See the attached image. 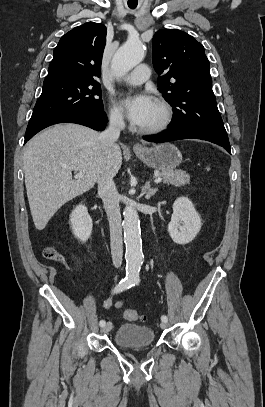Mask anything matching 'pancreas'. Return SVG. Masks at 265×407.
<instances>
[{"instance_id":"1","label":"pancreas","mask_w":265,"mask_h":407,"mask_svg":"<svg viewBox=\"0 0 265 407\" xmlns=\"http://www.w3.org/2000/svg\"><path fill=\"white\" fill-rule=\"evenodd\" d=\"M158 176L163 178L165 184H172L175 186H183L190 182L189 174L182 170L161 171Z\"/></svg>"}]
</instances>
